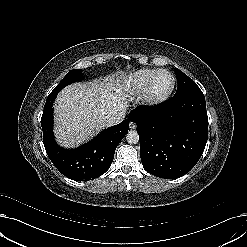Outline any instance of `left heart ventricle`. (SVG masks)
<instances>
[{
	"mask_svg": "<svg viewBox=\"0 0 247 247\" xmlns=\"http://www.w3.org/2000/svg\"><path fill=\"white\" fill-rule=\"evenodd\" d=\"M170 83V77L167 74L163 73L157 78L155 86L158 91H163L169 87Z\"/></svg>",
	"mask_w": 247,
	"mask_h": 247,
	"instance_id": "1",
	"label": "left heart ventricle"
}]
</instances>
